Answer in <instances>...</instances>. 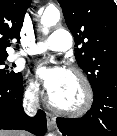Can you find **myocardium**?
I'll return each instance as SVG.
<instances>
[{
    "mask_svg": "<svg viewBox=\"0 0 117 136\" xmlns=\"http://www.w3.org/2000/svg\"><path fill=\"white\" fill-rule=\"evenodd\" d=\"M68 72L76 77L79 82L82 91L81 102L73 107H63L57 105L49 95L48 105L52 110L59 114L71 117H79L86 114L92 108L94 102V91L90 80L82 70L72 67L68 70Z\"/></svg>",
    "mask_w": 117,
    "mask_h": 136,
    "instance_id": "1",
    "label": "myocardium"
}]
</instances>
